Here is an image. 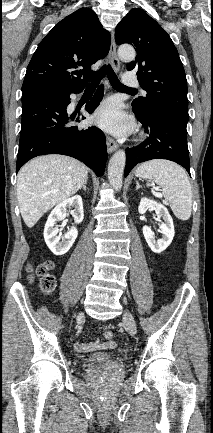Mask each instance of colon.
<instances>
[{
    "label": "colon",
    "mask_w": 213,
    "mask_h": 433,
    "mask_svg": "<svg viewBox=\"0 0 213 433\" xmlns=\"http://www.w3.org/2000/svg\"><path fill=\"white\" fill-rule=\"evenodd\" d=\"M51 270L52 264L49 261L40 263L38 265L28 266L30 278L36 279L38 281L39 288L44 294L51 293L56 286V281L51 273ZM103 336L106 340L112 341L114 334L110 329H105L103 331Z\"/></svg>",
    "instance_id": "1"
}]
</instances>
